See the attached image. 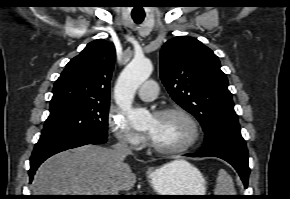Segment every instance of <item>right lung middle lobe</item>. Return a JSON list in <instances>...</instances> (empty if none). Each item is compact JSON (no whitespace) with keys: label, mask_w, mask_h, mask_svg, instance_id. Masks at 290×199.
Listing matches in <instances>:
<instances>
[{"label":"right lung middle lobe","mask_w":290,"mask_h":199,"mask_svg":"<svg viewBox=\"0 0 290 199\" xmlns=\"http://www.w3.org/2000/svg\"><path fill=\"white\" fill-rule=\"evenodd\" d=\"M109 103H78L50 110L38 142L90 134L107 137Z\"/></svg>","instance_id":"dd1d6c3e"}]
</instances>
